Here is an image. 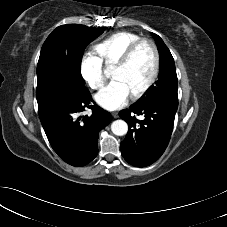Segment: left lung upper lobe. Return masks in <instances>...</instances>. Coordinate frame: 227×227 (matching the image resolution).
<instances>
[{"label": "left lung upper lobe", "instance_id": "left-lung-upper-lobe-1", "mask_svg": "<svg viewBox=\"0 0 227 227\" xmlns=\"http://www.w3.org/2000/svg\"><path fill=\"white\" fill-rule=\"evenodd\" d=\"M160 54V72L155 85L150 88L147 96L137 104H144L151 100L161 99L178 105L177 74L174 59L163 40L152 33Z\"/></svg>", "mask_w": 227, "mask_h": 227}]
</instances>
